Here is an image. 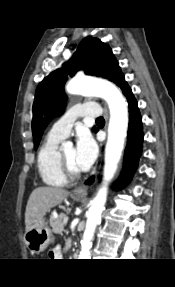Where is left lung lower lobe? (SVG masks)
I'll use <instances>...</instances> for the list:
<instances>
[{
    "mask_svg": "<svg viewBox=\"0 0 175 287\" xmlns=\"http://www.w3.org/2000/svg\"><path fill=\"white\" fill-rule=\"evenodd\" d=\"M122 91L127 98L129 106V128L127 135V146L125 148L124 155L123 171L120 179L115 184L117 189L122 188L132 178L142 153V142L144 136L142 130V118L131 88L127 86ZM93 179L94 178H90L88 181H86V183L91 184Z\"/></svg>",
    "mask_w": 175,
    "mask_h": 287,
    "instance_id": "obj_1",
    "label": "left lung lower lobe"
}]
</instances>
